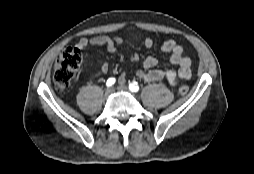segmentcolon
<instances>
[{
  "label": "colon",
  "mask_w": 254,
  "mask_h": 174,
  "mask_svg": "<svg viewBox=\"0 0 254 174\" xmlns=\"http://www.w3.org/2000/svg\"><path fill=\"white\" fill-rule=\"evenodd\" d=\"M81 63L82 53L79 48L69 47L59 54L53 72V82L57 90L62 91L71 84ZM188 91L186 85L179 88L182 95L187 94Z\"/></svg>",
  "instance_id": "obj_1"
}]
</instances>
